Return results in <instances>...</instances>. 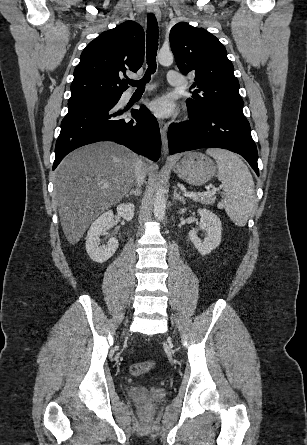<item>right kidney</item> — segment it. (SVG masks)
<instances>
[{"mask_svg": "<svg viewBox=\"0 0 307 445\" xmlns=\"http://www.w3.org/2000/svg\"><path fill=\"white\" fill-rule=\"evenodd\" d=\"M117 212L119 216H123L126 220H131L134 216V204L133 202H127V204H118ZM114 214L112 210H107L103 212L101 216H98L97 220H94L93 225H91L87 239H86V251L95 263H105L108 261L115 251L118 249L117 239H109L107 245H101L99 247V237L104 235L108 229H110L111 220Z\"/></svg>", "mask_w": 307, "mask_h": 445, "instance_id": "1", "label": "right kidney"}]
</instances>
